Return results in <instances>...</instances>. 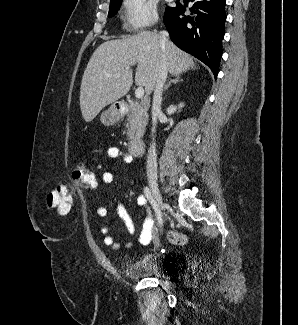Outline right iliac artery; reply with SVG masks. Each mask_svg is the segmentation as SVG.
<instances>
[{"instance_id": "obj_1", "label": "right iliac artery", "mask_w": 298, "mask_h": 325, "mask_svg": "<svg viewBox=\"0 0 298 325\" xmlns=\"http://www.w3.org/2000/svg\"><path fill=\"white\" fill-rule=\"evenodd\" d=\"M144 193H145V196L147 197V199L149 200V202L151 203V205L153 206V209H154V211L156 213V217H157V220H158V224H159V226H161L163 224L161 211L158 209V207H157V205H156V203H155V201H154L148 187L144 188Z\"/></svg>"}]
</instances>
